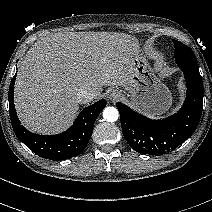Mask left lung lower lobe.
Returning <instances> with one entry per match:
<instances>
[{"label":"left lung lower lobe","mask_w":212,"mask_h":212,"mask_svg":"<svg viewBox=\"0 0 212 212\" xmlns=\"http://www.w3.org/2000/svg\"><path fill=\"white\" fill-rule=\"evenodd\" d=\"M184 73L187 96L182 108L163 120L148 119L122 103H117L123 135L137 152L161 155L174 150L196 130L203 105V82L197 59H176Z\"/></svg>","instance_id":"obj_1"}]
</instances>
